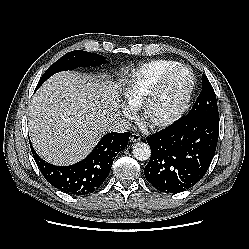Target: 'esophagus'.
<instances>
[{"mask_svg": "<svg viewBox=\"0 0 249 249\" xmlns=\"http://www.w3.org/2000/svg\"><path fill=\"white\" fill-rule=\"evenodd\" d=\"M132 142H138L141 140V136L138 133H133L130 137Z\"/></svg>", "mask_w": 249, "mask_h": 249, "instance_id": "esophagus-1", "label": "esophagus"}]
</instances>
